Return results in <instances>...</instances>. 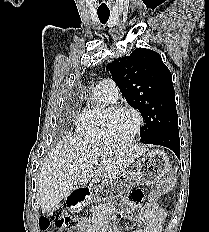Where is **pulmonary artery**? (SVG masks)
<instances>
[{
	"label": "pulmonary artery",
	"instance_id": "1",
	"mask_svg": "<svg viewBox=\"0 0 209 232\" xmlns=\"http://www.w3.org/2000/svg\"><path fill=\"white\" fill-rule=\"evenodd\" d=\"M95 90L104 93L112 101H116L119 95L118 87L111 78H106L100 81L96 85Z\"/></svg>",
	"mask_w": 209,
	"mask_h": 232
}]
</instances>
